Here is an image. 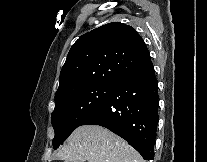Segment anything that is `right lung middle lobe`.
I'll return each mask as SVG.
<instances>
[{
	"instance_id": "obj_1",
	"label": "right lung middle lobe",
	"mask_w": 207,
	"mask_h": 162,
	"mask_svg": "<svg viewBox=\"0 0 207 162\" xmlns=\"http://www.w3.org/2000/svg\"><path fill=\"white\" fill-rule=\"evenodd\" d=\"M115 84H99L64 93L55 98L53 147L60 144L111 94Z\"/></svg>"
}]
</instances>
